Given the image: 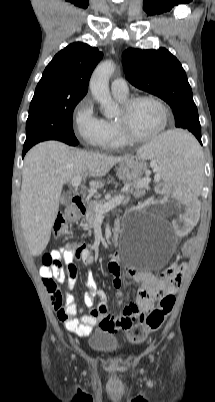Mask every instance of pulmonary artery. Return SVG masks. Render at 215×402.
Returning <instances> with one entry per match:
<instances>
[{
  "instance_id": "1",
  "label": "pulmonary artery",
  "mask_w": 215,
  "mask_h": 402,
  "mask_svg": "<svg viewBox=\"0 0 215 402\" xmlns=\"http://www.w3.org/2000/svg\"><path fill=\"white\" fill-rule=\"evenodd\" d=\"M111 91L117 96H127L129 92L127 82L123 78L115 79L111 84Z\"/></svg>"
}]
</instances>
